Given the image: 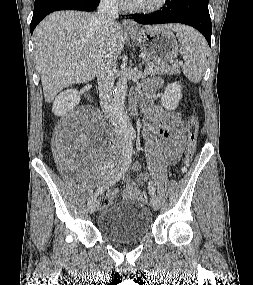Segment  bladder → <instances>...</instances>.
I'll return each instance as SVG.
<instances>
[{"instance_id":"bladder-1","label":"bladder","mask_w":253,"mask_h":285,"mask_svg":"<svg viewBox=\"0 0 253 285\" xmlns=\"http://www.w3.org/2000/svg\"><path fill=\"white\" fill-rule=\"evenodd\" d=\"M150 210L138 201H124L105 207L98 218L100 232L109 240L126 243L139 241L151 230Z\"/></svg>"}]
</instances>
